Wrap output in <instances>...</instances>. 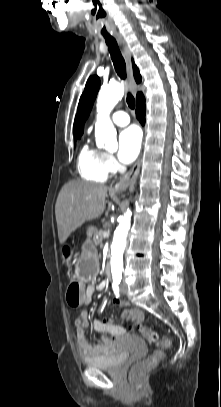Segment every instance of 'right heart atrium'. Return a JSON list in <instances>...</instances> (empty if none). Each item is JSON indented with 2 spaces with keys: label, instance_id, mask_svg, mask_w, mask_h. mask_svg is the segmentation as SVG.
I'll return each mask as SVG.
<instances>
[{
  "label": "right heart atrium",
  "instance_id": "d8ad5b80",
  "mask_svg": "<svg viewBox=\"0 0 221 407\" xmlns=\"http://www.w3.org/2000/svg\"><path fill=\"white\" fill-rule=\"evenodd\" d=\"M104 166L108 173H112L116 171L118 163L112 155L104 154Z\"/></svg>",
  "mask_w": 221,
  "mask_h": 407
}]
</instances>
